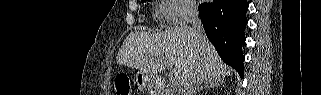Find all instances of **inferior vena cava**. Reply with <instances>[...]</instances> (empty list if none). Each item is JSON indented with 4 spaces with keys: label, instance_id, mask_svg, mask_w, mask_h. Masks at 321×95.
Segmentation results:
<instances>
[{
    "label": "inferior vena cava",
    "instance_id": "inferior-vena-cava-1",
    "mask_svg": "<svg viewBox=\"0 0 321 95\" xmlns=\"http://www.w3.org/2000/svg\"><path fill=\"white\" fill-rule=\"evenodd\" d=\"M189 17L195 39L198 43H201L205 38V34L202 22L199 18L197 6H190ZM204 79H206L204 68L200 66L186 79L181 90V95H193Z\"/></svg>",
    "mask_w": 321,
    "mask_h": 95
}]
</instances>
